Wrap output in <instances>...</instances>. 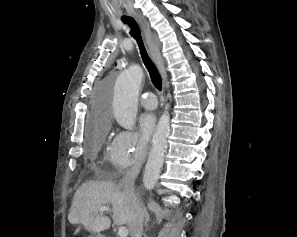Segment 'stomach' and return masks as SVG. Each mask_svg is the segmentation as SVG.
I'll return each instance as SVG.
<instances>
[{"label":"stomach","instance_id":"stomach-1","mask_svg":"<svg viewBox=\"0 0 297 237\" xmlns=\"http://www.w3.org/2000/svg\"><path fill=\"white\" fill-rule=\"evenodd\" d=\"M89 237H104L102 234L100 233H93L91 236Z\"/></svg>","mask_w":297,"mask_h":237}]
</instances>
